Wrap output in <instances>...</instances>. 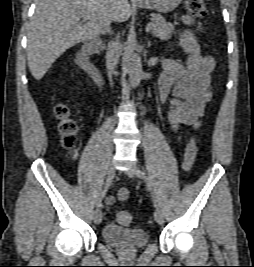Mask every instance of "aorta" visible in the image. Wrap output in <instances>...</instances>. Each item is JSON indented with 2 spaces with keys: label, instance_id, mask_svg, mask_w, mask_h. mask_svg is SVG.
Returning a JSON list of instances; mask_svg holds the SVG:
<instances>
[{
  "label": "aorta",
  "instance_id": "aorta-1",
  "mask_svg": "<svg viewBox=\"0 0 254 267\" xmlns=\"http://www.w3.org/2000/svg\"><path fill=\"white\" fill-rule=\"evenodd\" d=\"M135 40L130 39V48L127 52L129 80L132 87H137L142 78L141 57L135 50Z\"/></svg>",
  "mask_w": 254,
  "mask_h": 267
}]
</instances>
